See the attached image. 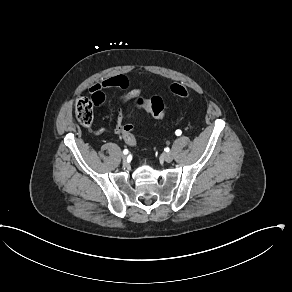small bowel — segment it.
<instances>
[{
	"mask_svg": "<svg viewBox=\"0 0 292 292\" xmlns=\"http://www.w3.org/2000/svg\"><path fill=\"white\" fill-rule=\"evenodd\" d=\"M107 88H119L121 89V94L118 97L119 102L124 105L126 104L131 98L135 97L136 95L139 94V90L138 89H130L129 88V82L127 80L126 77L122 76V75H118V76H113V77H109V78H105L102 79L101 81L96 82L95 84L92 85L91 90L92 91H98V90H102V89H107ZM115 111L118 112L115 120H114V125L117 126L115 128H109L107 129L106 125H102L101 129L103 131H105L106 134H116V135H120L121 134V129L124 128V119L123 114L124 111L120 110L119 107L115 108ZM99 130L97 132L98 136H101L103 134V131ZM91 135L95 134L94 130L90 131Z\"/></svg>",
	"mask_w": 292,
	"mask_h": 292,
	"instance_id": "c3829d8e",
	"label": "small bowel"
}]
</instances>
